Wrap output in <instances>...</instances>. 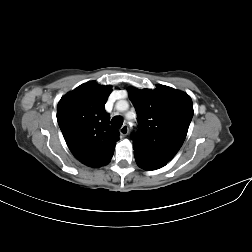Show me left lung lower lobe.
<instances>
[{"label": "left lung lower lobe", "instance_id": "obj_1", "mask_svg": "<svg viewBox=\"0 0 252 252\" xmlns=\"http://www.w3.org/2000/svg\"><path fill=\"white\" fill-rule=\"evenodd\" d=\"M134 157L137 165L144 170H156L166 165V161L147 155L134 149Z\"/></svg>", "mask_w": 252, "mask_h": 252}]
</instances>
